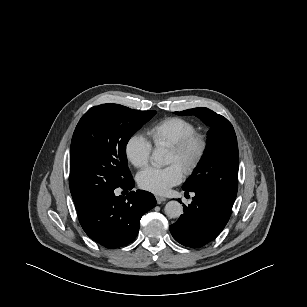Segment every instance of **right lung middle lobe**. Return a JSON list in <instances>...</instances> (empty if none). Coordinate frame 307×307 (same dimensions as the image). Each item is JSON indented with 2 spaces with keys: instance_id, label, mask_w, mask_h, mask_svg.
<instances>
[{
  "instance_id": "obj_1",
  "label": "right lung middle lobe",
  "mask_w": 307,
  "mask_h": 307,
  "mask_svg": "<svg viewBox=\"0 0 307 307\" xmlns=\"http://www.w3.org/2000/svg\"><path fill=\"white\" fill-rule=\"evenodd\" d=\"M156 111L119 104L89 109L78 122L70 148V191L76 208L123 186L132 177L126 145Z\"/></svg>"
}]
</instances>
